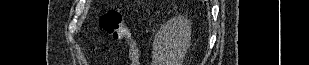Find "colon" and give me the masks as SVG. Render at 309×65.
I'll list each match as a JSON object with an SVG mask.
<instances>
[{
    "label": "colon",
    "instance_id": "colon-1",
    "mask_svg": "<svg viewBox=\"0 0 309 65\" xmlns=\"http://www.w3.org/2000/svg\"><path fill=\"white\" fill-rule=\"evenodd\" d=\"M100 25L114 39H123L127 36L123 15L117 9H112L104 13L100 18Z\"/></svg>",
    "mask_w": 309,
    "mask_h": 65
}]
</instances>
